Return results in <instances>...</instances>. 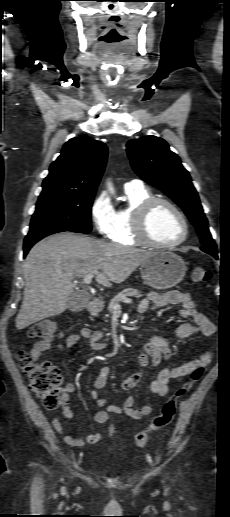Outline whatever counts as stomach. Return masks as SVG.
<instances>
[{
    "instance_id": "stomach-1",
    "label": "stomach",
    "mask_w": 230,
    "mask_h": 517,
    "mask_svg": "<svg viewBox=\"0 0 230 517\" xmlns=\"http://www.w3.org/2000/svg\"><path fill=\"white\" fill-rule=\"evenodd\" d=\"M184 260L170 251H155L141 264L144 282L153 289L164 290L176 286L186 274Z\"/></svg>"
}]
</instances>
